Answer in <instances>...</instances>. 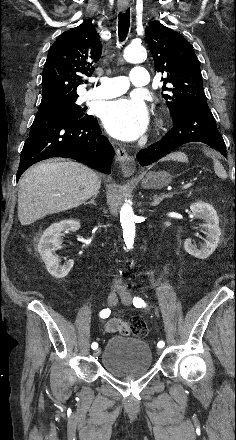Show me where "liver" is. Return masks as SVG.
Returning a JSON list of instances; mask_svg holds the SVG:
<instances>
[{
    "instance_id": "liver-1",
    "label": "liver",
    "mask_w": 236,
    "mask_h": 440,
    "mask_svg": "<svg viewBox=\"0 0 236 440\" xmlns=\"http://www.w3.org/2000/svg\"><path fill=\"white\" fill-rule=\"evenodd\" d=\"M167 159L184 160L183 154ZM97 173L73 161L47 162L30 168L19 181L18 218L23 226L49 215L76 208L98 193Z\"/></svg>"
}]
</instances>
